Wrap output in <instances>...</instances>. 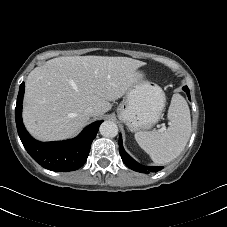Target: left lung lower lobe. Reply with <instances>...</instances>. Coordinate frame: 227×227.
Listing matches in <instances>:
<instances>
[{"label": "left lung lower lobe", "instance_id": "0a47b994", "mask_svg": "<svg viewBox=\"0 0 227 227\" xmlns=\"http://www.w3.org/2000/svg\"><path fill=\"white\" fill-rule=\"evenodd\" d=\"M183 90L186 92L189 100H190V91L187 86L183 87ZM119 152L124 164L130 169L141 172V173H149V172H157L162 169V167H147L138 164L134 159H132L124 150L122 145V137L119 136Z\"/></svg>", "mask_w": 227, "mask_h": 227}]
</instances>
